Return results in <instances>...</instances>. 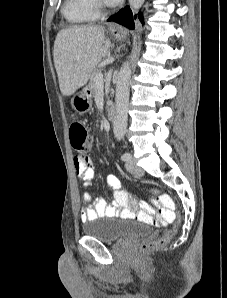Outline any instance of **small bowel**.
Returning <instances> with one entry per match:
<instances>
[{
  "label": "small bowel",
  "mask_w": 227,
  "mask_h": 298,
  "mask_svg": "<svg viewBox=\"0 0 227 298\" xmlns=\"http://www.w3.org/2000/svg\"><path fill=\"white\" fill-rule=\"evenodd\" d=\"M74 168L76 175L82 180L84 188H89L91 181L95 176V168L91 159L87 156V150H76L74 156ZM106 184L113 192V200L108 203L101 197L94 196L85 191L83 193V206L80 211L81 220L88 222L101 217H120V218H140L150 219L149 213L152 208L148 203H142L140 209H136V203L130 194L123 190L119 179L109 174L106 177ZM169 222L165 219V211H162V218L159 223Z\"/></svg>",
  "instance_id": "c3829d8e"
}]
</instances>
